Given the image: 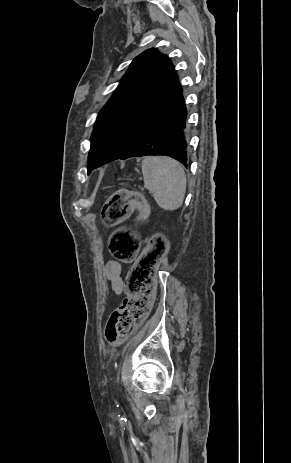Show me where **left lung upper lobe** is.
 Masks as SVG:
<instances>
[{
	"mask_svg": "<svg viewBox=\"0 0 291 463\" xmlns=\"http://www.w3.org/2000/svg\"><path fill=\"white\" fill-rule=\"evenodd\" d=\"M181 95L176 71L166 55L152 48L137 56L97 117L87 169L132 150Z\"/></svg>",
	"mask_w": 291,
	"mask_h": 463,
	"instance_id": "5c2ea615",
	"label": "left lung upper lobe"
}]
</instances>
